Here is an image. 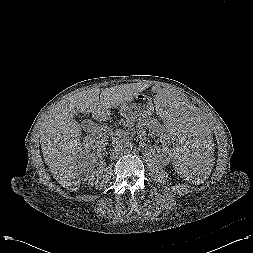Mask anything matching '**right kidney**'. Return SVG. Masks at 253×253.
Segmentation results:
<instances>
[{
  "mask_svg": "<svg viewBox=\"0 0 253 253\" xmlns=\"http://www.w3.org/2000/svg\"><path fill=\"white\" fill-rule=\"evenodd\" d=\"M107 145V138L100 134H89L84 137L78 148V172L84 183L93 186L101 179L100 171H93V165L102 155Z\"/></svg>",
  "mask_w": 253,
  "mask_h": 253,
  "instance_id": "right-kidney-1",
  "label": "right kidney"
}]
</instances>
